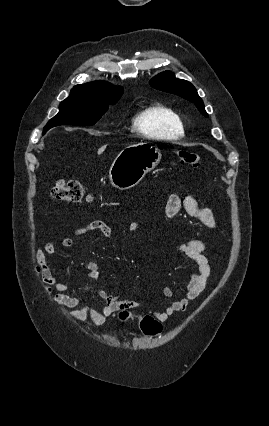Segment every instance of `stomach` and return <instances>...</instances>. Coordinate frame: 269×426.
Returning a JSON list of instances; mask_svg holds the SVG:
<instances>
[{
    "instance_id": "stomach-1",
    "label": "stomach",
    "mask_w": 269,
    "mask_h": 426,
    "mask_svg": "<svg viewBox=\"0 0 269 426\" xmlns=\"http://www.w3.org/2000/svg\"><path fill=\"white\" fill-rule=\"evenodd\" d=\"M161 159L157 146L141 142L126 147L115 158L109 171L111 184L119 190L136 186Z\"/></svg>"
}]
</instances>
